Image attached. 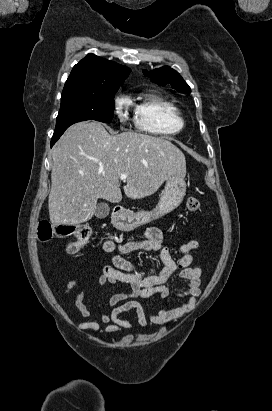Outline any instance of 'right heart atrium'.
<instances>
[{"mask_svg":"<svg viewBox=\"0 0 272 411\" xmlns=\"http://www.w3.org/2000/svg\"><path fill=\"white\" fill-rule=\"evenodd\" d=\"M128 103L122 96H118L114 99V113L116 114L120 123H124L128 120V113L126 111Z\"/></svg>","mask_w":272,"mask_h":411,"instance_id":"obj_1","label":"right heart atrium"}]
</instances>
